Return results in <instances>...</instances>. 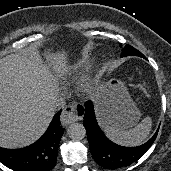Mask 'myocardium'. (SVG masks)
<instances>
[{
	"label": "myocardium",
	"mask_w": 171,
	"mask_h": 171,
	"mask_svg": "<svg viewBox=\"0 0 171 171\" xmlns=\"http://www.w3.org/2000/svg\"><path fill=\"white\" fill-rule=\"evenodd\" d=\"M93 84L90 77L82 79L77 86V93L81 97H88L93 93Z\"/></svg>",
	"instance_id": "obj_1"
}]
</instances>
